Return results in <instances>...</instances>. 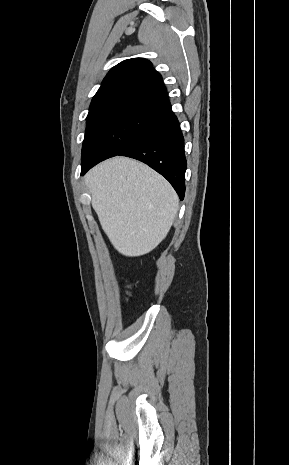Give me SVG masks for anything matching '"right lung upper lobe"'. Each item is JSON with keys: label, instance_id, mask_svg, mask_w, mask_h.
<instances>
[{"label": "right lung upper lobe", "instance_id": "right-lung-upper-lobe-1", "mask_svg": "<svg viewBox=\"0 0 289 465\" xmlns=\"http://www.w3.org/2000/svg\"><path fill=\"white\" fill-rule=\"evenodd\" d=\"M126 102L165 105L167 90L161 75L144 58H133L114 66L94 95L88 116L110 106Z\"/></svg>", "mask_w": 289, "mask_h": 465}]
</instances>
